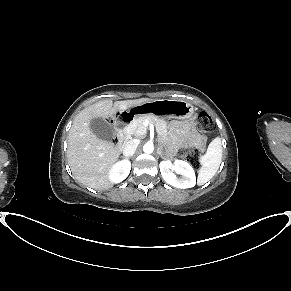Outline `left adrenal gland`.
Returning <instances> with one entry per match:
<instances>
[{
  "label": "left adrenal gland",
  "mask_w": 291,
  "mask_h": 291,
  "mask_svg": "<svg viewBox=\"0 0 291 291\" xmlns=\"http://www.w3.org/2000/svg\"><path fill=\"white\" fill-rule=\"evenodd\" d=\"M157 154L160 155L161 158H164L161 152V147L157 149Z\"/></svg>",
  "instance_id": "left-adrenal-gland-1"
}]
</instances>
